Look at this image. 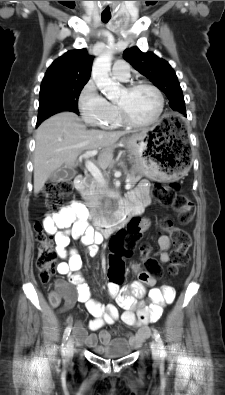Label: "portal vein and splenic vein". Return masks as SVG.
<instances>
[{
    "instance_id": "obj_1",
    "label": "portal vein and splenic vein",
    "mask_w": 225,
    "mask_h": 395,
    "mask_svg": "<svg viewBox=\"0 0 225 395\" xmlns=\"http://www.w3.org/2000/svg\"><path fill=\"white\" fill-rule=\"evenodd\" d=\"M98 153L97 150H92V151H86L83 154V157L85 159H87L90 156H94ZM86 168L87 170L91 173V175L94 177V179L101 185L104 186L105 184V180L103 178V175L101 173V171L97 168V166H95V164H93V162L86 160ZM131 188V184L129 183V181H126V185H125V189H130Z\"/></svg>"
}]
</instances>
